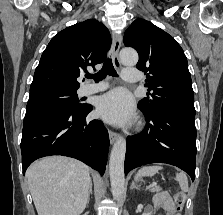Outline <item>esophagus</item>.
<instances>
[{
	"mask_svg": "<svg viewBox=\"0 0 223 215\" xmlns=\"http://www.w3.org/2000/svg\"><path fill=\"white\" fill-rule=\"evenodd\" d=\"M121 43H122V37L119 33L117 32H113L112 33V61H113V65L116 68H121V63L119 60V50L121 47ZM119 134L116 132H112L111 130L109 131V140L110 143L113 144L115 142V140H117Z\"/></svg>",
	"mask_w": 223,
	"mask_h": 215,
	"instance_id": "obj_1",
	"label": "esophagus"
}]
</instances>
